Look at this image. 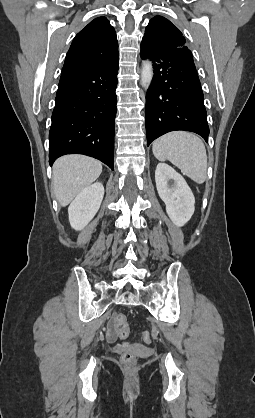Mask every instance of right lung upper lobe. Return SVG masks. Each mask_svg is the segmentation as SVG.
Listing matches in <instances>:
<instances>
[{
	"label": "right lung upper lobe",
	"instance_id": "1",
	"mask_svg": "<svg viewBox=\"0 0 255 418\" xmlns=\"http://www.w3.org/2000/svg\"><path fill=\"white\" fill-rule=\"evenodd\" d=\"M118 60V41L106 17L91 21L73 39L62 73H68Z\"/></svg>",
	"mask_w": 255,
	"mask_h": 418
}]
</instances>
